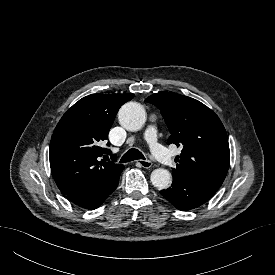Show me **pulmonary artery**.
Returning <instances> with one entry per match:
<instances>
[{
    "mask_svg": "<svg viewBox=\"0 0 275 275\" xmlns=\"http://www.w3.org/2000/svg\"><path fill=\"white\" fill-rule=\"evenodd\" d=\"M144 138L158 161L167 165L173 163L171 154L158 140V132L155 125L151 124L147 127Z\"/></svg>",
    "mask_w": 275,
    "mask_h": 275,
    "instance_id": "1",
    "label": "pulmonary artery"
}]
</instances>
